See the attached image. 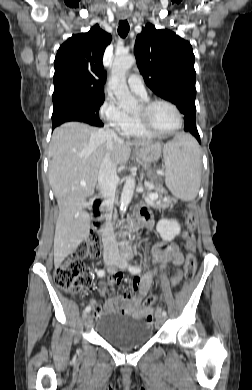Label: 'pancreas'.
Masks as SVG:
<instances>
[{
  "label": "pancreas",
  "mask_w": 252,
  "mask_h": 390,
  "mask_svg": "<svg viewBox=\"0 0 252 390\" xmlns=\"http://www.w3.org/2000/svg\"><path fill=\"white\" fill-rule=\"evenodd\" d=\"M157 203V206L155 209H166V208H169V207H173V205L176 203V200L169 197V200L168 202H156Z\"/></svg>",
  "instance_id": "pancreas-1"
}]
</instances>
